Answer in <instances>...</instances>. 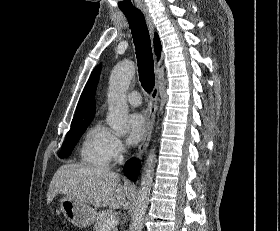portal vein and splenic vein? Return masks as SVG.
Listing matches in <instances>:
<instances>
[{
	"label": "portal vein and splenic vein",
	"mask_w": 280,
	"mask_h": 231,
	"mask_svg": "<svg viewBox=\"0 0 280 231\" xmlns=\"http://www.w3.org/2000/svg\"><path fill=\"white\" fill-rule=\"evenodd\" d=\"M117 223H118L117 217H113V215H111L110 219H107V221H105L103 225L104 231H110V229H112V227H115Z\"/></svg>",
	"instance_id": "18ae733b"
}]
</instances>
